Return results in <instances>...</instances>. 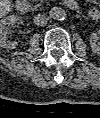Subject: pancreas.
Segmentation results:
<instances>
[{
    "label": "pancreas",
    "instance_id": "1",
    "mask_svg": "<svg viewBox=\"0 0 100 118\" xmlns=\"http://www.w3.org/2000/svg\"><path fill=\"white\" fill-rule=\"evenodd\" d=\"M35 1H40L39 4H36L33 9H36L41 6L42 3H44L46 0H35Z\"/></svg>",
    "mask_w": 100,
    "mask_h": 118
}]
</instances>
